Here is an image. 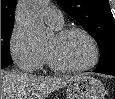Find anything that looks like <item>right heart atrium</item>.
<instances>
[{
    "mask_svg": "<svg viewBox=\"0 0 115 99\" xmlns=\"http://www.w3.org/2000/svg\"><path fill=\"white\" fill-rule=\"evenodd\" d=\"M8 48L13 61L25 71H35L44 62L43 53L33 50L17 27H14L11 32Z\"/></svg>",
    "mask_w": 115,
    "mask_h": 99,
    "instance_id": "1",
    "label": "right heart atrium"
}]
</instances>
